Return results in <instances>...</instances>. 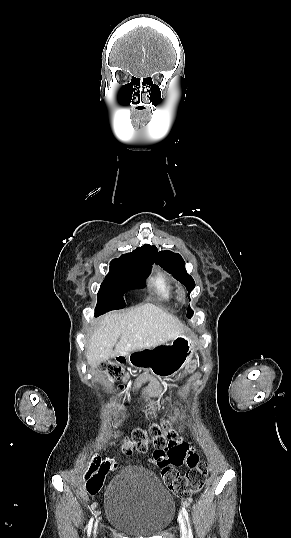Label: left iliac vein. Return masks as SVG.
I'll return each instance as SVG.
<instances>
[{
	"label": "left iliac vein",
	"mask_w": 291,
	"mask_h": 538,
	"mask_svg": "<svg viewBox=\"0 0 291 538\" xmlns=\"http://www.w3.org/2000/svg\"><path fill=\"white\" fill-rule=\"evenodd\" d=\"M178 521H179V525H180L182 538H188L186 523H185V519H184L182 514H179Z\"/></svg>",
	"instance_id": "4c4485c4"
}]
</instances>
